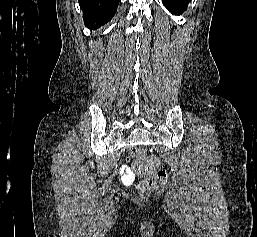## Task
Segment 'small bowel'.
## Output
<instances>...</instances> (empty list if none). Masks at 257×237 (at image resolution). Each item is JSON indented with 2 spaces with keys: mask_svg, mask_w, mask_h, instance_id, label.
I'll use <instances>...</instances> for the list:
<instances>
[{
  "mask_svg": "<svg viewBox=\"0 0 257 237\" xmlns=\"http://www.w3.org/2000/svg\"><path fill=\"white\" fill-rule=\"evenodd\" d=\"M120 174L124 182H132L134 180V175L131 172L130 168L127 166H122L120 168Z\"/></svg>",
  "mask_w": 257,
  "mask_h": 237,
  "instance_id": "obj_1",
  "label": "small bowel"
}]
</instances>
